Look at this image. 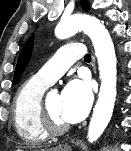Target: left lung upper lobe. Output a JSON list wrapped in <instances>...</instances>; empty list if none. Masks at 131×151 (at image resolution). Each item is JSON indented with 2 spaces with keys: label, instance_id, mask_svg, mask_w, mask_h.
I'll return each instance as SVG.
<instances>
[{
  "label": "left lung upper lobe",
  "instance_id": "5c2ea615",
  "mask_svg": "<svg viewBox=\"0 0 131 151\" xmlns=\"http://www.w3.org/2000/svg\"><path fill=\"white\" fill-rule=\"evenodd\" d=\"M81 5L85 11L89 10L88 0H81ZM33 39H34V35L30 36V38L27 40L26 44L24 45L20 53L17 66L15 69L14 83H17V81L19 80L20 76L22 75L23 71L25 70L30 60L32 49H33Z\"/></svg>",
  "mask_w": 131,
  "mask_h": 151
}]
</instances>
